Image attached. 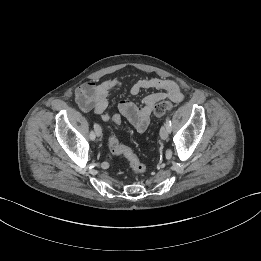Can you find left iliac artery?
Returning <instances> with one entry per match:
<instances>
[{
  "instance_id": "obj_1",
  "label": "left iliac artery",
  "mask_w": 261,
  "mask_h": 261,
  "mask_svg": "<svg viewBox=\"0 0 261 261\" xmlns=\"http://www.w3.org/2000/svg\"><path fill=\"white\" fill-rule=\"evenodd\" d=\"M166 125L168 126V129H169V132H170L171 131V121H170L169 117L166 118Z\"/></svg>"
}]
</instances>
